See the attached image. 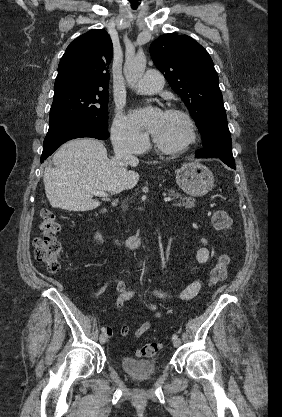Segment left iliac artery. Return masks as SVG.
<instances>
[{
    "label": "left iliac artery",
    "instance_id": "left-iliac-artery-1",
    "mask_svg": "<svg viewBox=\"0 0 282 417\" xmlns=\"http://www.w3.org/2000/svg\"><path fill=\"white\" fill-rule=\"evenodd\" d=\"M172 339H178V335L177 334H173L172 335Z\"/></svg>",
    "mask_w": 282,
    "mask_h": 417
}]
</instances>
